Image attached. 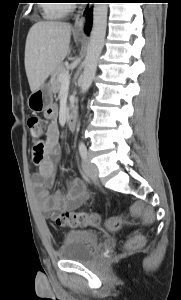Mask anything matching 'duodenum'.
<instances>
[{
    "label": "duodenum",
    "mask_w": 181,
    "mask_h": 300,
    "mask_svg": "<svg viewBox=\"0 0 181 300\" xmlns=\"http://www.w3.org/2000/svg\"><path fill=\"white\" fill-rule=\"evenodd\" d=\"M77 125V112L75 109H72L68 115L67 119V128L70 131H74Z\"/></svg>",
    "instance_id": "duodenum-1"
}]
</instances>
